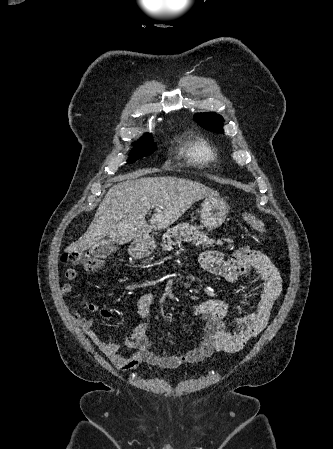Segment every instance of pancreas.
<instances>
[{"label": "pancreas", "mask_w": 333, "mask_h": 449, "mask_svg": "<svg viewBox=\"0 0 333 449\" xmlns=\"http://www.w3.org/2000/svg\"><path fill=\"white\" fill-rule=\"evenodd\" d=\"M164 238H167V241H164L162 244L164 251L172 250V245L181 244L182 241L192 242L196 246H208L214 243L217 245L223 244L222 240L215 241L209 239L207 234L200 232L196 226H192L187 222L176 225L164 235ZM171 238H174L175 241L171 240ZM224 241L228 243L232 242L231 239H224Z\"/></svg>", "instance_id": "1"}]
</instances>
